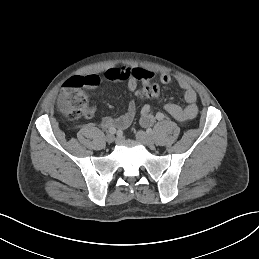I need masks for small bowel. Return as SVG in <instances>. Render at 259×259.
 Segmentation results:
<instances>
[{
	"label": "small bowel",
	"mask_w": 259,
	"mask_h": 259,
	"mask_svg": "<svg viewBox=\"0 0 259 259\" xmlns=\"http://www.w3.org/2000/svg\"><path fill=\"white\" fill-rule=\"evenodd\" d=\"M87 80V87L93 89L98 86L100 78L98 75H89L85 77ZM106 78L111 81H123L126 82L130 91H135L139 82L152 83L153 73L149 70L140 67H111L106 71ZM171 81V76L167 73L162 74L159 77V82L162 84H168ZM177 83L179 87L184 91V100L187 103L182 107L174 103H166L163 105V109L166 113L172 116L179 122H187L194 119L199 112L196 104L197 94L194 89L183 79L178 78ZM158 86L157 83H152ZM159 87V86H158ZM159 96H157L158 98ZM96 110V107L92 106L86 111L87 116H92ZM136 114V106L133 102L129 103L127 111L119 117H105L102 120V127H116L119 129L127 128L133 121ZM141 124L149 126L153 122V114L149 105H144L141 109Z\"/></svg>",
	"instance_id": "obj_1"
}]
</instances>
